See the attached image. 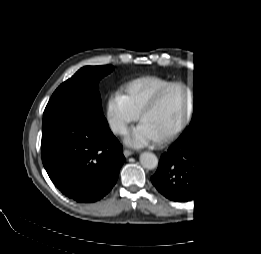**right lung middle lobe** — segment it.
I'll list each match as a JSON object with an SVG mask.
<instances>
[{"mask_svg":"<svg viewBox=\"0 0 261 254\" xmlns=\"http://www.w3.org/2000/svg\"><path fill=\"white\" fill-rule=\"evenodd\" d=\"M113 66H86L62 83L51 96L46 109L71 107L89 117L107 122L103 116L98 83Z\"/></svg>","mask_w":261,"mask_h":254,"instance_id":"right-lung-middle-lobe-1","label":"right lung middle lobe"}]
</instances>
